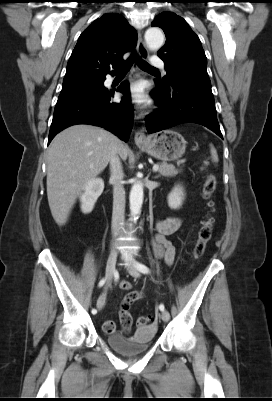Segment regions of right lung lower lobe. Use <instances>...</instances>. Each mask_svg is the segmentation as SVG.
I'll use <instances>...</instances> for the list:
<instances>
[{"label": "right lung lower lobe", "instance_id": "98d812e1", "mask_svg": "<svg viewBox=\"0 0 272 401\" xmlns=\"http://www.w3.org/2000/svg\"><path fill=\"white\" fill-rule=\"evenodd\" d=\"M114 91L106 88L100 91H86L58 100L48 144L57 133L76 124L103 127L127 142L134 118L128 83L123 82L117 89L124 94L120 103L111 102Z\"/></svg>", "mask_w": 272, "mask_h": 401}]
</instances>
